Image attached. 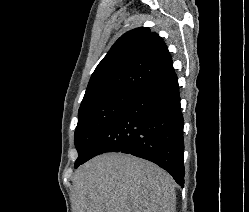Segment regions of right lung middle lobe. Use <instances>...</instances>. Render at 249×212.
I'll return each mask as SVG.
<instances>
[{
	"label": "right lung middle lobe",
	"mask_w": 249,
	"mask_h": 212,
	"mask_svg": "<svg viewBox=\"0 0 249 212\" xmlns=\"http://www.w3.org/2000/svg\"><path fill=\"white\" fill-rule=\"evenodd\" d=\"M138 95L139 93L131 91H115L81 103L75 130V146L78 151L75 168L85 162L103 131Z\"/></svg>",
	"instance_id": "right-lung-middle-lobe-1"
}]
</instances>
